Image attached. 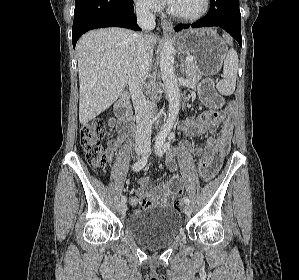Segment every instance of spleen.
Listing matches in <instances>:
<instances>
[{
  "label": "spleen",
  "mask_w": 299,
  "mask_h": 280,
  "mask_svg": "<svg viewBox=\"0 0 299 280\" xmlns=\"http://www.w3.org/2000/svg\"><path fill=\"white\" fill-rule=\"evenodd\" d=\"M238 70V55L232 48L230 49L224 60L223 74L224 78L216 85L217 90L222 95H231L235 91L236 77Z\"/></svg>",
  "instance_id": "1"
}]
</instances>
